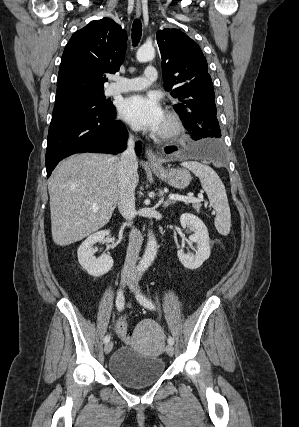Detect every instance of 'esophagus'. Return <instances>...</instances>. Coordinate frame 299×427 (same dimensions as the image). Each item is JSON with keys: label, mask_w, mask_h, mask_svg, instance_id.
<instances>
[{"label": "esophagus", "mask_w": 299, "mask_h": 427, "mask_svg": "<svg viewBox=\"0 0 299 427\" xmlns=\"http://www.w3.org/2000/svg\"><path fill=\"white\" fill-rule=\"evenodd\" d=\"M136 15H141V5L138 3L136 5ZM146 159L151 166H158L160 164V161L156 155V153L152 150V148L147 147L146 149Z\"/></svg>", "instance_id": "esophagus-1"}]
</instances>
